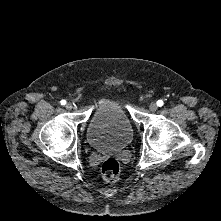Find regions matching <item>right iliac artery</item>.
Here are the masks:
<instances>
[{
	"mask_svg": "<svg viewBox=\"0 0 221 221\" xmlns=\"http://www.w3.org/2000/svg\"><path fill=\"white\" fill-rule=\"evenodd\" d=\"M60 103H61V105H65L66 101L65 100H61Z\"/></svg>",
	"mask_w": 221,
	"mask_h": 221,
	"instance_id": "right-iliac-artery-1",
	"label": "right iliac artery"
}]
</instances>
